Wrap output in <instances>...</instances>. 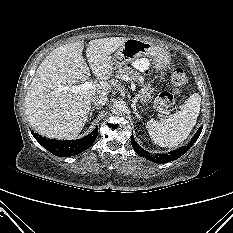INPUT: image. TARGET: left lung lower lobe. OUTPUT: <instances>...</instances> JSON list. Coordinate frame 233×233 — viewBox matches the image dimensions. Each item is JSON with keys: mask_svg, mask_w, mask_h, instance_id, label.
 <instances>
[{"mask_svg": "<svg viewBox=\"0 0 233 233\" xmlns=\"http://www.w3.org/2000/svg\"><path fill=\"white\" fill-rule=\"evenodd\" d=\"M201 128L198 129L196 134L192 137L191 142L187 146H183L182 148H179L177 150L171 151L166 154H159V155H150L149 152L145 151L142 149L138 143L135 141L134 137H131V144L134 150L141 156V157H146L150 161H153L155 163H168L170 161L176 160L179 157H181L186 151L190 149V147L197 141L198 137L200 136L201 133Z\"/></svg>", "mask_w": 233, "mask_h": 233, "instance_id": "left-lung-lower-lobe-1", "label": "left lung lower lobe"}]
</instances>
